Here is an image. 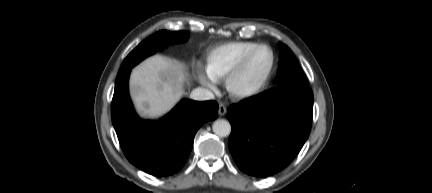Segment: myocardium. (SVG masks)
<instances>
[{"mask_svg":"<svg viewBox=\"0 0 432 193\" xmlns=\"http://www.w3.org/2000/svg\"><path fill=\"white\" fill-rule=\"evenodd\" d=\"M261 49H268L271 53V64L268 72L266 73L263 80L256 86L250 88L240 87L237 83L239 76L242 74V72L247 67L248 63L254 57V55ZM275 67H276V55L274 50L269 45L260 44L254 49H252L250 52H248L242 58V60L226 76V88L234 99L246 100V99L253 98L259 95L260 93H262L266 89L273 76Z\"/></svg>","mask_w":432,"mask_h":193,"instance_id":"obj_1","label":"myocardium"}]
</instances>
